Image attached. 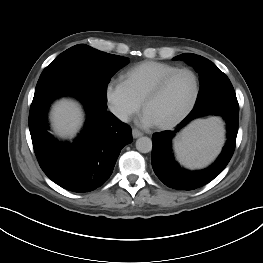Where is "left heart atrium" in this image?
I'll return each mask as SVG.
<instances>
[{"label": "left heart atrium", "mask_w": 263, "mask_h": 263, "mask_svg": "<svg viewBox=\"0 0 263 263\" xmlns=\"http://www.w3.org/2000/svg\"><path fill=\"white\" fill-rule=\"evenodd\" d=\"M141 123L144 125V126H153L155 125V122L154 120L150 117V115L145 112L141 118Z\"/></svg>", "instance_id": "1"}]
</instances>
